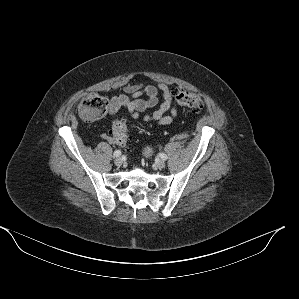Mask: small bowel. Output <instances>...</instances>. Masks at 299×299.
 Segmentation results:
<instances>
[{"mask_svg":"<svg viewBox=\"0 0 299 299\" xmlns=\"http://www.w3.org/2000/svg\"><path fill=\"white\" fill-rule=\"evenodd\" d=\"M124 93L114 96L109 101L108 113L115 115L121 108H125L135 120L158 125H169L178 116V108L173 100L175 91L166 83L159 82L156 85L142 82L127 84L123 88ZM162 102L159 107L149 115L143 113L159 103V94ZM146 96V98H142ZM102 138L111 143H116L110 133H103Z\"/></svg>","mask_w":299,"mask_h":299,"instance_id":"c3829d8e","label":"small bowel"}]
</instances>
